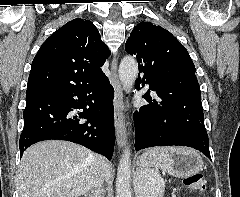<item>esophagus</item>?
Returning a JSON list of instances; mask_svg holds the SVG:
<instances>
[{"mask_svg":"<svg viewBox=\"0 0 240 197\" xmlns=\"http://www.w3.org/2000/svg\"><path fill=\"white\" fill-rule=\"evenodd\" d=\"M118 58L114 57L111 63V85L114 89V127L118 146L124 147L126 144V124L124 117V102L122 87L117 74Z\"/></svg>","mask_w":240,"mask_h":197,"instance_id":"34e87169","label":"esophagus"}]
</instances>
